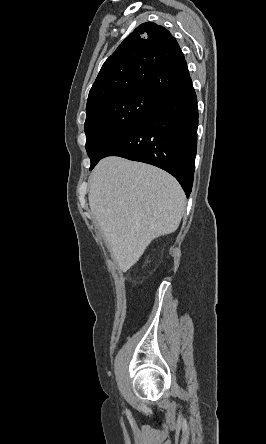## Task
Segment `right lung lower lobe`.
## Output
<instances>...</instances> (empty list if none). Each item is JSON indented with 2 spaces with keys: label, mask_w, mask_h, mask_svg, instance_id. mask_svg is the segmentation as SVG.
Here are the masks:
<instances>
[{
  "label": "right lung lower lobe",
  "mask_w": 266,
  "mask_h": 444,
  "mask_svg": "<svg viewBox=\"0 0 266 444\" xmlns=\"http://www.w3.org/2000/svg\"><path fill=\"white\" fill-rule=\"evenodd\" d=\"M198 108L192 83L162 98L134 128L105 150L103 157L120 156L157 166L172 174L189 197L197 150Z\"/></svg>",
  "instance_id": "obj_1"
}]
</instances>
